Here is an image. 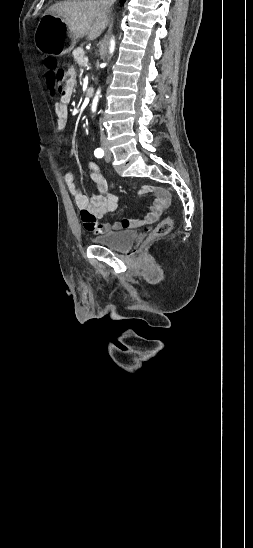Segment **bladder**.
Segmentation results:
<instances>
[{"label":"bladder","instance_id":"1","mask_svg":"<svg viewBox=\"0 0 253 548\" xmlns=\"http://www.w3.org/2000/svg\"><path fill=\"white\" fill-rule=\"evenodd\" d=\"M137 235V232L133 230L109 231L93 237L92 241L112 250L124 251L133 245Z\"/></svg>","mask_w":253,"mask_h":548}]
</instances>
